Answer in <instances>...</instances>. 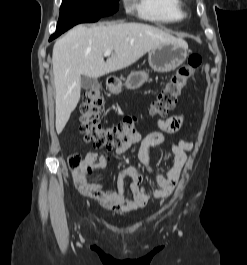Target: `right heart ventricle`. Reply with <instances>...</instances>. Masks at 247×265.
I'll use <instances>...</instances> for the list:
<instances>
[{
	"mask_svg": "<svg viewBox=\"0 0 247 265\" xmlns=\"http://www.w3.org/2000/svg\"><path fill=\"white\" fill-rule=\"evenodd\" d=\"M139 15L158 23H175L184 19L183 0H133Z\"/></svg>",
	"mask_w": 247,
	"mask_h": 265,
	"instance_id": "obj_1",
	"label": "right heart ventricle"
}]
</instances>
